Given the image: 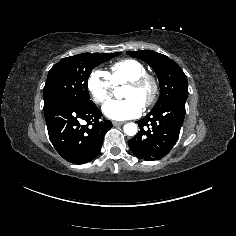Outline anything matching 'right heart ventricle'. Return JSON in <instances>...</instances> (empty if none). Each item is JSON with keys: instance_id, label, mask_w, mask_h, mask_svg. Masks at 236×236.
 Wrapping results in <instances>:
<instances>
[{"instance_id": "1", "label": "right heart ventricle", "mask_w": 236, "mask_h": 236, "mask_svg": "<svg viewBox=\"0 0 236 236\" xmlns=\"http://www.w3.org/2000/svg\"><path fill=\"white\" fill-rule=\"evenodd\" d=\"M110 70V75L116 87L123 86L132 78L146 72L144 64L133 58L115 62L111 65Z\"/></svg>"}]
</instances>
